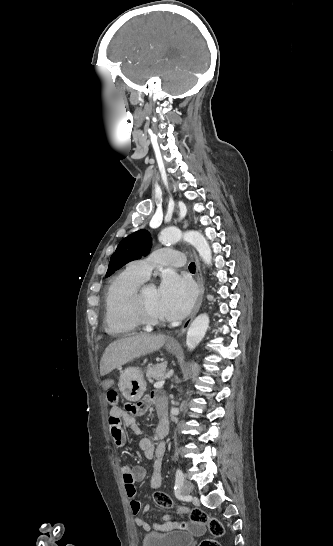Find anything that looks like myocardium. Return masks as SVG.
<instances>
[{"label": "myocardium", "mask_w": 333, "mask_h": 546, "mask_svg": "<svg viewBox=\"0 0 333 546\" xmlns=\"http://www.w3.org/2000/svg\"><path fill=\"white\" fill-rule=\"evenodd\" d=\"M147 285L143 283L139 285L131 294L129 305L134 317L139 321L140 324L146 326H160L164 324L163 318H157L150 315L144 307L143 304V291Z\"/></svg>", "instance_id": "myocardium-1"}]
</instances>
